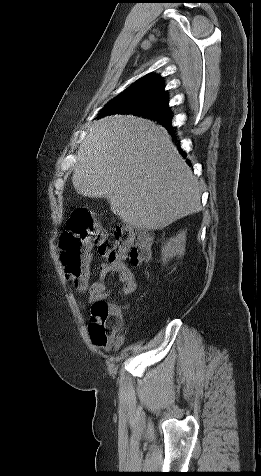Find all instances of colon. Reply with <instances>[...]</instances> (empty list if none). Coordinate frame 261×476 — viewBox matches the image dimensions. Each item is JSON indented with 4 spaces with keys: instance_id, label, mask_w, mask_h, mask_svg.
<instances>
[{
    "instance_id": "obj_1",
    "label": "colon",
    "mask_w": 261,
    "mask_h": 476,
    "mask_svg": "<svg viewBox=\"0 0 261 476\" xmlns=\"http://www.w3.org/2000/svg\"><path fill=\"white\" fill-rule=\"evenodd\" d=\"M105 230L94 214L87 208H78L66 222L59 246L61 260L68 279L77 287H84L90 272L89 248L98 245L100 255L111 261L128 258L133 265H139L150 255V237L146 232H137L128 225L117 226L115 241L107 246L103 240ZM119 318L115 309L106 301L92 306L89 334L99 347L110 350L118 346L122 337L118 326L109 329L110 318Z\"/></svg>"
}]
</instances>
